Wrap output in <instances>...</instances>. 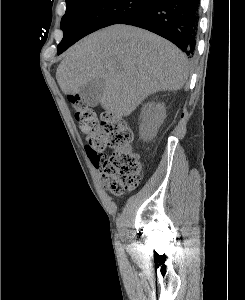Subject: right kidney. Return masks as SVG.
<instances>
[{
	"instance_id": "right-kidney-1",
	"label": "right kidney",
	"mask_w": 245,
	"mask_h": 300,
	"mask_svg": "<svg viewBox=\"0 0 245 300\" xmlns=\"http://www.w3.org/2000/svg\"><path fill=\"white\" fill-rule=\"evenodd\" d=\"M166 117V109L163 103H148L140 114V135L143 140H151L156 136L159 127Z\"/></svg>"
}]
</instances>
